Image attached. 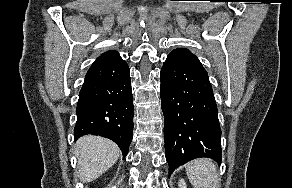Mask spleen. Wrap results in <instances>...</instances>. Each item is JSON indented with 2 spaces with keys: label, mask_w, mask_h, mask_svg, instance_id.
<instances>
[{
  "label": "spleen",
  "mask_w": 292,
  "mask_h": 188,
  "mask_svg": "<svg viewBox=\"0 0 292 188\" xmlns=\"http://www.w3.org/2000/svg\"><path fill=\"white\" fill-rule=\"evenodd\" d=\"M186 173L194 188H220L216 165L210 159L200 158L187 163Z\"/></svg>",
  "instance_id": "spleen-1"
}]
</instances>
